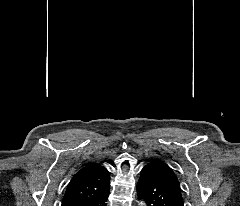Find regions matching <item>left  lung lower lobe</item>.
<instances>
[{
    "mask_svg": "<svg viewBox=\"0 0 240 206\" xmlns=\"http://www.w3.org/2000/svg\"><path fill=\"white\" fill-rule=\"evenodd\" d=\"M137 192L147 206H184L182 197L172 188L158 161L150 162L141 170Z\"/></svg>",
    "mask_w": 240,
    "mask_h": 206,
    "instance_id": "1",
    "label": "left lung lower lobe"
}]
</instances>
